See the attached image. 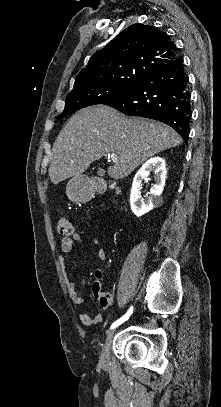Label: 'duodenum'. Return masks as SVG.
Returning a JSON list of instances; mask_svg holds the SVG:
<instances>
[{
  "label": "duodenum",
  "mask_w": 221,
  "mask_h": 407,
  "mask_svg": "<svg viewBox=\"0 0 221 407\" xmlns=\"http://www.w3.org/2000/svg\"><path fill=\"white\" fill-rule=\"evenodd\" d=\"M107 188V184L106 183H100V184H93L91 186H89L88 190H87V194H88V198H92L93 196L104 192ZM116 190H118L117 187H115Z\"/></svg>",
  "instance_id": "duodenum-1"
}]
</instances>
